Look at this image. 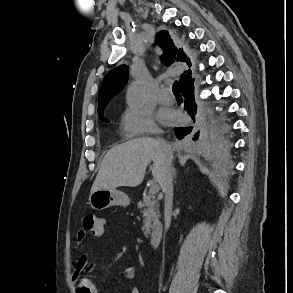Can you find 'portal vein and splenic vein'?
Here are the masks:
<instances>
[{"mask_svg": "<svg viewBox=\"0 0 293 293\" xmlns=\"http://www.w3.org/2000/svg\"><path fill=\"white\" fill-rule=\"evenodd\" d=\"M158 192H159V186L157 184L152 185L149 189L150 194H156Z\"/></svg>", "mask_w": 293, "mask_h": 293, "instance_id": "18ae733b", "label": "portal vein and splenic vein"}]
</instances>
